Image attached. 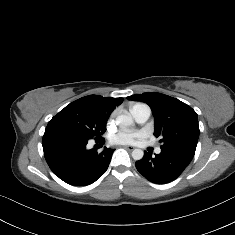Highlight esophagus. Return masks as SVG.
Returning a JSON list of instances; mask_svg holds the SVG:
<instances>
[{
    "label": "esophagus",
    "mask_w": 235,
    "mask_h": 235,
    "mask_svg": "<svg viewBox=\"0 0 235 235\" xmlns=\"http://www.w3.org/2000/svg\"><path fill=\"white\" fill-rule=\"evenodd\" d=\"M122 148H125V149L128 150V151H132L135 147H133V146H128V145H124V146H122Z\"/></svg>",
    "instance_id": "1"
}]
</instances>
